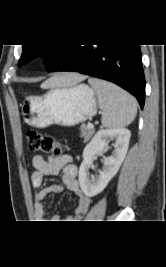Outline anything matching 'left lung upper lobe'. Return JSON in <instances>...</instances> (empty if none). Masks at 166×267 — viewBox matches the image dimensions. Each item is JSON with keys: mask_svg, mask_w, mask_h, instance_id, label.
<instances>
[{"mask_svg": "<svg viewBox=\"0 0 166 267\" xmlns=\"http://www.w3.org/2000/svg\"><path fill=\"white\" fill-rule=\"evenodd\" d=\"M23 52L18 65L32 60L38 55L45 57L46 69L50 71L58 62L66 45H22Z\"/></svg>", "mask_w": 166, "mask_h": 267, "instance_id": "obj_1", "label": "left lung upper lobe"}]
</instances>
